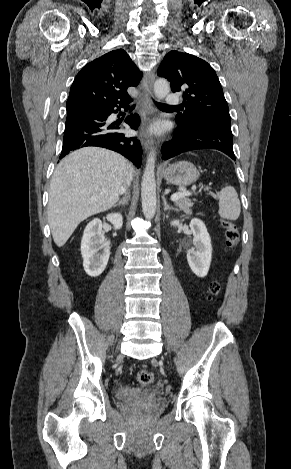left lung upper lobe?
Returning a JSON list of instances; mask_svg holds the SVG:
<instances>
[{"mask_svg": "<svg viewBox=\"0 0 291 469\" xmlns=\"http://www.w3.org/2000/svg\"><path fill=\"white\" fill-rule=\"evenodd\" d=\"M158 75L170 81L173 92L182 94L185 111L175 118L178 126H189L196 121L231 126L221 84L206 61L172 50L164 57Z\"/></svg>", "mask_w": 291, "mask_h": 469, "instance_id": "obj_1", "label": "left lung upper lobe"}]
</instances>
